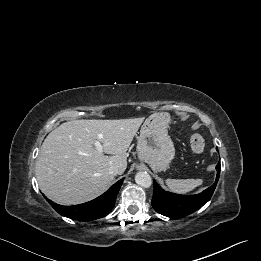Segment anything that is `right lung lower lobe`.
Masks as SVG:
<instances>
[{
    "label": "right lung lower lobe",
    "mask_w": 261,
    "mask_h": 261,
    "mask_svg": "<svg viewBox=\"0 0 261 261\" xmlns=\"http://www.w3.org/2000/svg\"><path fill=\"white\" fill-rule=\"evenodd\" d=\"M122 183L123 179L116 182L98 198L80 205L62 206L51 200L47 199V201L62 216L80 221L95 220L106 216L112 210Z\"/></svg>",
    "instance_id": "obj_1"
}]
</instances>
